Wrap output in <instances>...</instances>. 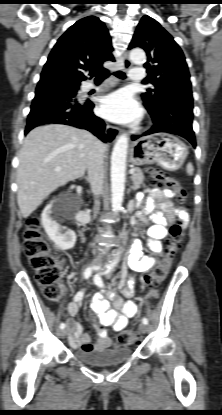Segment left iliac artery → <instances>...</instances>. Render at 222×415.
Listing matches in <instances>:
<instances>
[{"instance_id":"left-iliac-artery-1","label":"left iliac artery","mask_w":222,"mask_h":415,"mask_svg":"<svg viewBox=\"0 0 222 415\" xmlns=\"http://www.w3.org/2000/svg\"><path fill=\"white\" fill-rule=\"evenodd\" d=\"M113 270H114V265L111 264V265L107 266V269L102 273V275L110 276V274L112 273ZM94 282H95L96 285H98L100 287H103L104 286V283L102 281V278H101V276L99 274L95 275ZM142 322L144 324H148V319L147 318H143L142 319Z\"/></svg>"}]
</instances>
